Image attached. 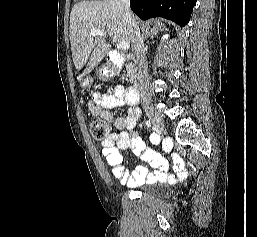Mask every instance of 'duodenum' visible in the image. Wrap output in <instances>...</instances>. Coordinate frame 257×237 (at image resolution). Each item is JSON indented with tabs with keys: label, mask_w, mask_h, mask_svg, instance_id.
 Returning a JSON list of instances; mask_svg holds the SVG:
<instances>
[{
	"label": "duodenum",
	"mask_w": 257,
	"mask_h": 237,
	"mask_svg": "<svg viewBox=\"0 0 257 237\" xmlns=\"http://www.w3.org/2000/svg\"><path fill=\"white\" fill-rule=\"evenodd\" d=\"M129 59H135V56H128ZM126 60V57L124 55H114L111 58V62L115 63V65L118 67L122 65V63ZM125 95L127 100L130 103H137L140 99V92L137 84L131 85L126 88Z\"/></svg>",
	"instance_id": "obj_1"
}]
</instances>
